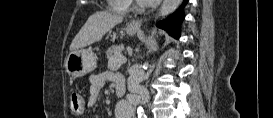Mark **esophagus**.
<instances>
[{
	"label": "esophagus",
	"mask_w": 273,
	"mask_h": 118,
	"mask_svg": "<svg viewBox=\"0 0 273 118\" xmlns=\"http://www.w3.org/2000/svg\"><path fill=\"white\" fill-rule=\"evenodd\" d=\"M142 23H143L142 20H136V21L131 22L130 26L132 28L139 29L142 26Z\"/></svg>",
	"instance_id": "34e87169"
}]
</instances>
